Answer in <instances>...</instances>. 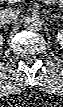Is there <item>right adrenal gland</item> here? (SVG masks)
Returning <instances> with one entry per match:
<instances>
[{"mask_svg": "<svg viewBox=\"0 0 63 107\" xmlns=\"http://www.w3.org/2000/svg\"><path fill=\"white\" fill-rule=\"evenodd\" d=\"M0 28H1V29L7 28V26H5V25H0Z\"/></svg>", "mask_w": 63, "mask_h": 107, "instance_id": "1", "label": "right adrenal gland"}]
</instances>
